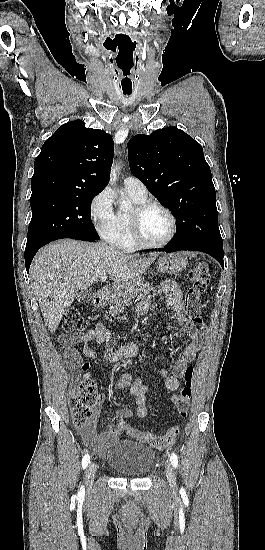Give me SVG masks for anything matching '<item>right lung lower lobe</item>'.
<instances>
[{
    "instance_id": "obj_1",
    "label": "right lung lower lobe",
    "mask_w": 265,
    "mask_h": 550,
    "mask_svg": "<svg viewBox=\"0 0 265 550\" xmlns=\"http://www.w3.org/2000/svg\"><path fill=\"white\" fill-rule=\"evenodd\" d=\"M61 238H72V239L83 240V241H96V240H98V239H95V238H89V237H86V236H81V235H76V234L62 235V236H59L58 238H56L55 240L61 239ZM41 247L35 249L34 251L25 253V263H26L27 272H29V267H30V264H31V261H32L34 255L37 253V251Z\"/></svg>"
}]
</instances>
